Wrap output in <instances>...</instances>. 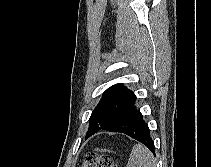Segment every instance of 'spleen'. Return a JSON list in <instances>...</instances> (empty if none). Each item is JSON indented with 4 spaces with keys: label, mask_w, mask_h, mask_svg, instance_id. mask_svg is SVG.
Returning a JSON list of instances; mask_svg holds the SVG:
<instances>
[{
    "label": "spleen",
    "mask_w": 211,
    "mask_h": 167,
    "mask_svg": "<svg viewBox=\"0 0 211 167\" xmlns=\"http://www.w3.org/2000/svg\"><path fill=\"white\" fill-rule=\"evenodd\" d=\"M126 167H156V164L150 150L141 144H136L132 148Z\"/></svg>",
    "instance_id": "obj_1"
}]
</instances>
